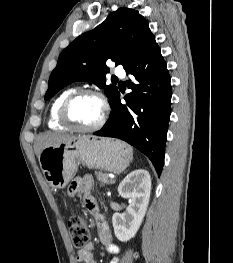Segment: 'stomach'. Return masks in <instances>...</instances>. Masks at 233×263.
<instances>
[{
	"instance_id": "obj_1",
	"label": "stomach",
	"mask_w": 233,
	"mask_h": 263,
	"mask_svg": "<svg viewBox=\"0 0 233 263\" xmlns=\"http://www.w3.org/2000/svg\"><path fill=\"white\" fill-rule=\"evenodd\" d=\"M132 160V152L120 140L80 135L44 148L39 163L47 183L63 189L75 176L79 164L90 169L123 172Z\"/></svg>"
}]
</instances>
